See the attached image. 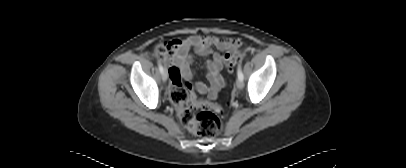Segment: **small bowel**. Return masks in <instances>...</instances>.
<instances>
[{"mask_svg":"<svg viewBox=\"0 0 406 168\" xmlns=\"http://www.w3.org/2000/svg\"><path fill=\"white\" fill-rule=\"evenodd\" d=\"M240 43L236 39H222L216 36L193 35L186 39L173 40L169 44L168 54L164 61L178 71L181 79L190 80L192 71L189 64L193 60L191 51L199 55H211V59L206 62L207 79L209 86L202 82L196 83L195 89L200 94H206L207 98L214 100L222 87L225 80L220 74L223 69L224 53L234 52L238 49ZM170 68V69H171ZM172 85V77L170 73Z\"/></svg>","mask_w":406,"mask_h":168,"instance_id":"c3829d8e","label":"small bowel"}]
</instances>
